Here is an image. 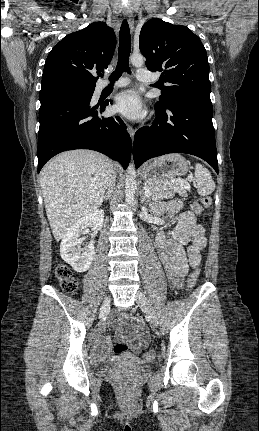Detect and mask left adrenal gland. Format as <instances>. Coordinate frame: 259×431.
<instances>
[{
  "instance_id": "left-adrenal-gland-1",
  "label": "left adrenal gland",
  "mask_w": 259,
  "mask_h": 431,
  "mask_svg": "<svg viewBox=\"0 0 259 431\" xmlns=\"http://www.w3.org/2000/svg\"><path fill=\"white\" fill-rule=\"evenodd\" d=\"M141 195H142V196H141V201H142V202H144L145 204L150 203V201H149V200H147V199H146V197L144 196V193H143V192L141 193Z\"/></svg>"
}]
</instances>
